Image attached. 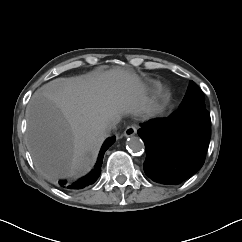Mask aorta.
<instances>
[{
  "label": "aorta",
  "instance_id": "762f6f07",
  "mask_svg": "<svg viewBox=\"0 0 242 242\" xmlns=\"http://www.w3.org/2000/svg\"><path fill=\"white\" fill-rule=\"evenodd\" d=\"M127 147L131 152L141 153L144 150V143L140 137L132 136L127 141Z\"/></svg>",
  "mask_w": 242,
  "mask_h": 242
}]
</instances>
